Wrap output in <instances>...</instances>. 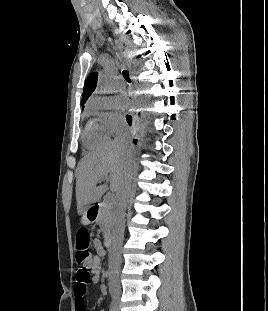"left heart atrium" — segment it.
<instances>
[{
  "instance_id": "1",
  "label": "left heart atrium",
  "mask_w": 268,
  "mask_h": 311,
  "mask_svg": "<svg viewBox=\"0 0 268 311\" xmlns=\"http://www.w3.org/2000/svg\"><path fill=\"white\" fill-rule=\"evenodd\" d=\"M116 105L120 108H127L129 106V101L125 98H117Z\"/></svg>"
}]
</instances>
